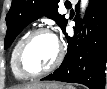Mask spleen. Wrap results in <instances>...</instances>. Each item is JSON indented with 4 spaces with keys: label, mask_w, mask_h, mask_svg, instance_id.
<instances>
[{
    "label": "spleen",
    "mask_w": 107,
    "mask_h": 89,
    "mask_svg": "<svg viewBox=\"0 0 107 89\" xmlns=\"http://www.w3.org/2000/svg\"><path fill=\"white\" fill-rule=\"evenodd\" d=\"M66 89H75L72 85H67Z\"/></svg>",
    "instance_id": "1"
}]
</instances>
